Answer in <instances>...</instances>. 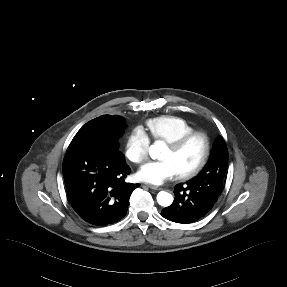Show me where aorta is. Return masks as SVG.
<instances>
[{
  "instance_id": "obj_1",
  "label": "aorta",
  "mask_w": 287,
  "mask_h": 287,
  "mask_svg": "<svg viewBox=\"0 0 287 287\" xmlns=\"http://www.w3.org/2000/svg\"><path fill=\"white\" fill-rule=\"evenodd\" d=\"M165 144L162 141H156L153 145L149 147V155L152 159H157L160 153L165 149ZM157 202L163 207H168L173 202V196L165 191H160L157 194Z\"/></svg>"
}]
</instances>
